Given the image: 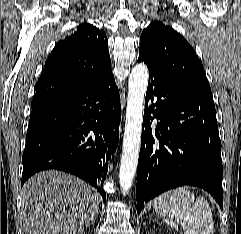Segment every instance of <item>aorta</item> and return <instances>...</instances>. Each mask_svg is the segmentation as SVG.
<instances>
[{
  "instance_id": "762f6f07",
  "label": "aorta",
  "mask_w": 241,
  "mask_h": 234,
  "mask_svg": "<svg viewBox=\"0 0 241 234\" xmlns=\"http://www.w3.org/2000/svg\"><path fill=\"white\" fill-rule=\"evenodd\" d=\"M148 77V68L143 63L135 65L129 76L123 151L119 171L120 186L125 192L131 188L137 171Z\"/></svg>"
}]
</instances>
